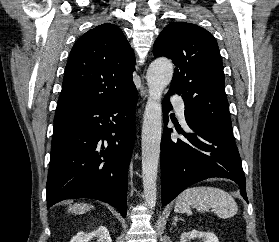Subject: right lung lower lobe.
I'll list each match as a JSON object with an SVG mask.
<instances>
[{
	"instance_id": "98d812e1",
	"label": "right lung lower lobe",
	"mask_w": 279,
	"mask_h": 242,
	"mask_svg": "<svg viewBox=\"0 0 279 242\" xmlns=\"http://www.w3.org/2000/svg\"><path fill=\"white\" fill-rule=\"evenodd\" d=\"M137 99L135 90L111 104L55 115L47 208L64 199L92 198L126 216Z\"/></svg>"
}]
</instances>
